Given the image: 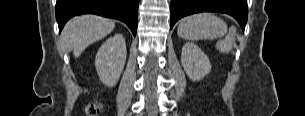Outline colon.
Returning <instances> with one entry per match:
<instances>
[{
    "label": "colon",
    "mask_w": 305,
    "mask_h": 116,
    "mask_svg": "<svg viewBox=\"0 0 305 116\" xmlns=\"http://www.w3.org/2000/svg\"><path fill=\"white\" fill-rule=\"evenodd\" d=\"M101 105L98 103H90L86 106L85 112L88 116H98L101 112Z\"/></svg>",
    "instance_id": "colon-1"
}]
</instances>
